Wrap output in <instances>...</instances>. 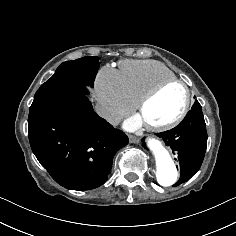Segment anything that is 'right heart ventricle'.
<instances>
[{
  "mask_svg": "<svg viewBox=\"0 0 236 236\" xmlns=\"http://www.w3.org/2000/svg\"><path fill=\"white\" fill-rule=\"evenodd\" d=\"M121 72L134 102H138L158 82L176 78V74L167 65L154 60H126L121 64Z\"/></svg>",
  "mask_w": 236,
  "mask_h": 236,
  "instance_id": "e07e8e85",
  "label": "right heart ventricle"
}]
</instances>
